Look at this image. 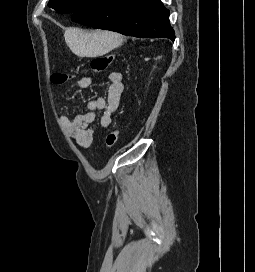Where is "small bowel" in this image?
I'll list each match as a JSON object with an SVG mask.
<instances>
[{
	"mask_svg": "<svg viewBox=\"0 0 255 272\" xmlns=\"http://www.w3.org/2000/svg\"><path fill=\"white\" fill-rule=\"evenodd\" d=\"M92 83L90 76L82 77L76 84V89L83 90ZM124 92L123 76L120 72L114 71L108 75L107 96L97 97L88 102L89 112L70 118L67 115L61 116L63 124L68 135L75 143L82 148H89L93 141L94 128L93 122L96 119L95 111H101L99 123L101 127L106 128L110 125L112 118L118 109ZM65 100L66 96L63 95Z\"/></svg>",
	"mask_w": 255,
	"mask_h": 272,
	"instance_id": "c3829d8e",
	"label": "small bowel"
}]
</instances>
